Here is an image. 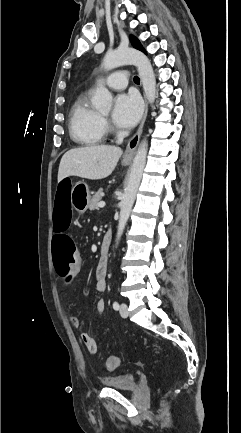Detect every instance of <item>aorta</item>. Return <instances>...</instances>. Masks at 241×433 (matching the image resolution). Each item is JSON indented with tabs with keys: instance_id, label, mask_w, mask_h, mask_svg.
<instances>
[{
	"instance_id": "762f6f07",
	"label": "aorta",
	"mask_w": 241,
	"mask_h": 433,
	"mask_svg": "<svg viewBox=\"0 0 241 433\" xmlns=\"http://www.w3.org/2000/svg\"><path fill=\"white\" fill-rule=\"evenodd\" d=\"M125 64L137 66L146 98L150 104H153L156 98V78L152 65L145 54L132 48H119L108 52L103 59V67L106 70H112ZM92 104L100 111H110L112 105L111 93L103 86L98 87L92 98ZM147 147V141L144 139L137 149L131 166L129 179L120 202V218L116 244H118L123 234L136 198L146 164Z\"/></svg>"
}]
</instances>
